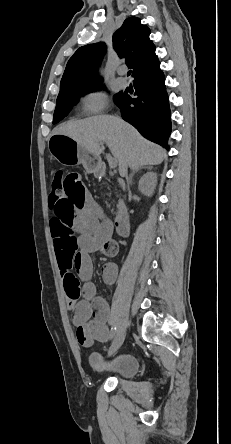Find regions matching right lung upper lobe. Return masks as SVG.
Returning <instances> with one entry per match:
<instances>
[{
    "instance_id": "cb5924a9",
    "label": "right lung upper lobe",
    "mask_w": 231,
    "mask_h": 444,
    "mask_svg": "<svg viewBox=\"0 0 231 444\" xmlns=\"http://www.w3.org/2000/svg\"><path fill=\"white\" fill-rule=\"evenodd\" d=\"M150 29L140 23L137 17L126 19L113 34V47L120 58L131 62L133 77L150 72L160 65L155 54V45L149 39ZM106 51L104 43L82 46L69 59L60 83V93L80 88L98 87L100 80L95 77V67L101 62Z\"/></svg>"
}]
</instances>
